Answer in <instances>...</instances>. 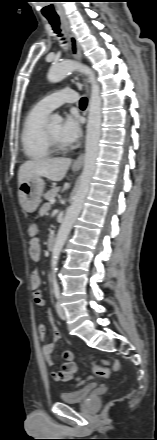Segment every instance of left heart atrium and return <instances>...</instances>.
I'll use <instances>...</instances> for the list:
<instances>
[{
	"label": "left heart atrium",
	"instance_id": "1",
	"mask_svg": "<svg viewBox=\"0 0 157 440\" xmlns=\"http://www.w3.org/2000/svg\"><path fill=\"white\" fill-rule=\"evenodd\" d=\"M81 136V127L75 117L67 116L60 127V137L63 143L72 144Z\"/></svg>",
	"mask_w": 157,
	"mask_h": 440
}]
</instances>
